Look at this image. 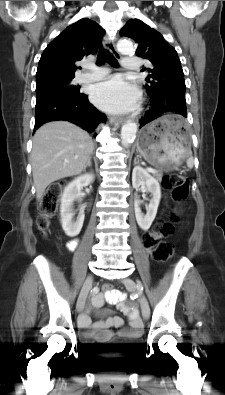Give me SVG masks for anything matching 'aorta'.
I'll return each mask as SVG.
<instances>
[{
	"instance_id": "obj_1",
	"label": "aorta",
	"mask_w": 225,
	"mask_h": 395,
	"mask_svg": "<svg viewBox=\"0 0 225 395\" xmlns=\"http://www.w3.org/2000/svg\"><path fill=\"white\" fill-rule=\"evenodd\" d=\"M117 49L122 54H134L135 48L131 41L123 39L118 41ZM137 124L127 121L121 128V142L123 146H128L136 137Z\"/></svg>"
}]
</instances>
